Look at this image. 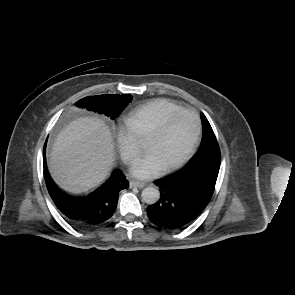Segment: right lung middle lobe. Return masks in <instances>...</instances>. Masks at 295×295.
Listing matches in <instances>:
<instances>
[{"instance_id":"right-lung-middle-lobe-1","label":"right lung middle lobe","mask_w":295,"mask_h":295,"mask_svg":"<svg viewBox=\"0 0 295 295\" xmlns=\"http://www.w3.org/2000/svg\"><path fill=\"white\" fill-rule=\"evenodd\" d=\"M131 95H98L86 97L75 103L77 107L104 114L115 119L132 101Z\"/></svg>"}]
</instances>
